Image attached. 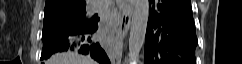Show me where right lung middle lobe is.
<instances>
[{
    "label": "right lung middle lobe",
    "instance_id": "right-lung-middle-lobe-1",
    "mask_svg": "<svg viewBox=\"0 0 242 64\" xmlns=\"http://www.w3.org/2000/svg\"><path fill=\"white\" fill-rule=\"evenodd\" d=\"M85 6L76 9L55 10L45 13L42 35L43 47L54 38L95 26L98 22V18L86 17Z\"/></svg>",
    "mask_w": 242,
    "mask_h": 64
}]
</instances>
